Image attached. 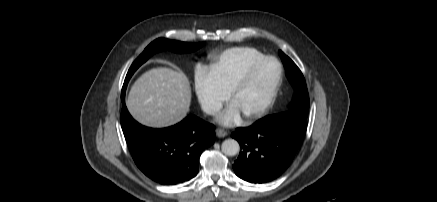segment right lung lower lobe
<instances>
[{"label":"right lung lower lobe","mask_w":437,"mask_h":202,"mask_svg":"<svg viewBox=\"0 0 437 202\" xmlns=\"http://www.w3.org/2000/svg\"><path fill=\"white\" fill-rule=\"evenodd\" d=\"M121 127L138 168L162 185L186 182L199 171V157L215 141V126L189 115L174 126L153 129L129 114L121 97Z\"/></svg>","instance_id":"98d812e1"}]
</instances>
